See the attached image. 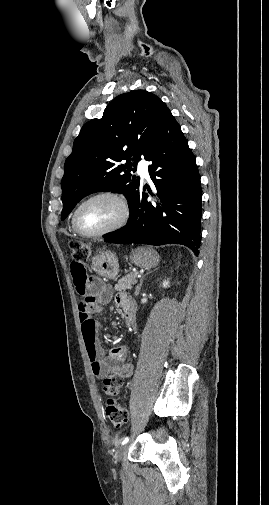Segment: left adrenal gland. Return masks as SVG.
I'll return each mask as SVG.
<instances>
[{
  "mask_svg": "<svg viewBox=\"0 0 269 505\" xmlns=\"http://www.w3.org/2000/svg\"><path fill=\"white\" fill-rule=\"evenodd\" d=\"M150 273H151V272L146 273V274H145V275H144V276L140 279L139 284L136 286L135 296H138V295H139L140 290H141V286H142V284H143V280H144L145 276H146V275H148V274H150Z\"/></svg>",
  "mask_w": 269,
  "mask_h": 505,
  "instance_id": "1",
  "label": "left adrenal gland"
}]
</instances>
